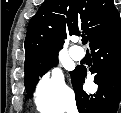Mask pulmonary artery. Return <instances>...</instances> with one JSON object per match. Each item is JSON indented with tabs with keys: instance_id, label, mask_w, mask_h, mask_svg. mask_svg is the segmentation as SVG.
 <instances>
[{
	"instance_id": "obj_1",
	"label": "pulmonary artery",
	"mask_w": 121,
	"mask_h": 113,
	"mask_svg": "<svg viewBox=\"0 0 121 113\" xmlns=\"http://www.w3.org/2000/svg\"><path fill=\"white\" fill-rule=\"evenodd\" d=\"M84 51L82 49L77 48V46H72L70 49V56L72 59L79 61L84 58Z\"/></svg>"
}]
</instances>
